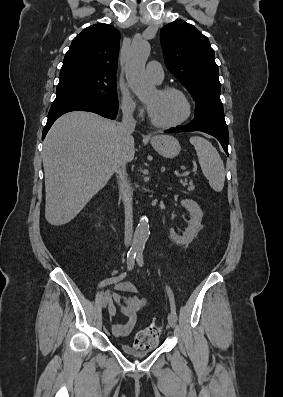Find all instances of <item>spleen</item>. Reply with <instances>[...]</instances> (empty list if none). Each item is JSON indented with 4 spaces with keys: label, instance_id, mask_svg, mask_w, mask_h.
Listing matches in <instances>:
<instances>
[{
    "label": "spleen",
    "instance_id": "1",
    "mask_svg": "<svg viewBox=\"0 0 283 397\" xmlns=\"http://www.w3.org/2000/svg\"><path fill=\"white\" fill-rule=\"evenodd\" d=\"M190 143L196 150L199 164L204 176L209 181V185L216 192L222 191L225 169L218 151L208 140L199 136L191 137Z\"/></svg>",
    "mask_w": 283,
    "mask_h": 397
}]
</instances>
